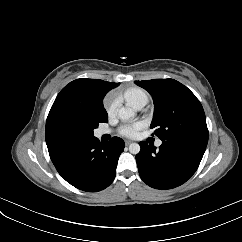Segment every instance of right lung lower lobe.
<instances>
[{
  "label": "right lung lower lobe",
  "mask_w": 242,
  "mask_h": 242,
  "mask_svg": "<svg viewBox=\"0 0 242 242\" xmlns=\"http://www.w3.org/2000/svg\"><path fill=\"white\" fill-rule=\"evenodd\" d=\"M124 147L119 137L103 144L94 136L79 137L49 151V155L68 183L83 191L97 192L114 180Z\"/></svg>",
  "instance_id": "obj_1"
}]
</instances>
